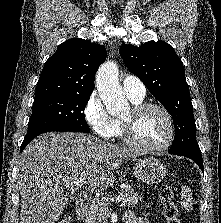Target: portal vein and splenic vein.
<instances>
[{"instance_id": "portal-vein-and-splenic-vein-1", "label": "portal vein and splenic vein", "mask_w": 221, "mask_h": 223, "mask_svg": "<svg viewBox=\"0 0 221 223\" xmlns=\"http://www.w3.org/2000/svg\"><path fill=\"white\" fill-rule=\"evenodd\" d=\"M65 187L68 189V190H71L72 192H75V191H80L81 193H83L84 195H88V191L87 190H84L83 188V184H72V183H69V182H65ZM121 194V193H120ZM98 200V199H97ZM121 200V197L118 196L117 198V201H120Z\"/></svg>"}]
</instances>
